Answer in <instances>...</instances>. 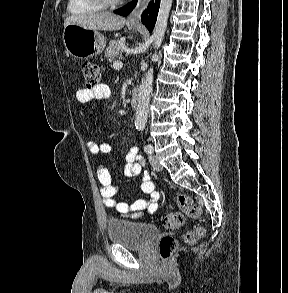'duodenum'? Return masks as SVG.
I'll list each match as a JSON object with an SVG mask.
<instances>
[{
    "label": "duodenum",
    "instance_id": "obj_1",
    "mask_svg": "<svg viewBox=\"0 0 288 293\" xmlns=\"http://www.w3.org/2000/svg\"><path fill=\"white\" fill-rule=\"evenodd\" d=\"M139 101V92L137 89H134L132 91L131 97H130V105L132 108H136Z\"/></svg>",
    "mask_w": 288,
    "mask_h": 293
}]
</instances>
